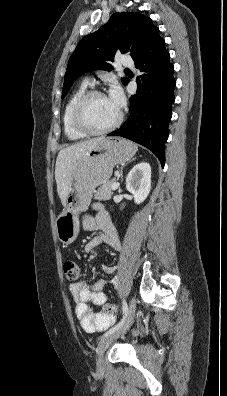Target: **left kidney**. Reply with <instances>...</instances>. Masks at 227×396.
<instances>
[{
	"label": "left kidney",
	"mask_w": 227,
	"mask_h": 396,
	"mask_svg": "<svg viewBox=\"0 0 227 396\" xmlns=\"http://www.w3.org/2000/svg\"><path fill=\"white\" fill-rule=\"evenodd\" d=\"M126 189L136 204L142 203L151 190V167L147 162L136 164L126 178Z\"/></svg>",
	"instance_id": "5707ae66"
}]
</instances>
